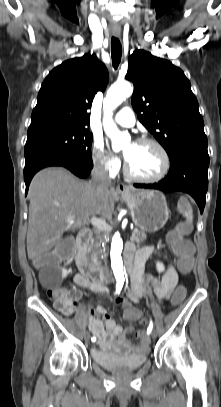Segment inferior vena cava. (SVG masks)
<instances>
[{"mask_svg": "<svg viewBox=\"0 0 221 407\" xmlns=\"http://www.w3.org/2000/svg\"><path fill=\"white\" fill-rule=\"evenodd\" d=\"M91 184L96 188L97 194L102 193L109 188L111 180L108 176V171L103 163H96L92 170ZM106 272L108 271L105 268Z\"/></svg>", "mask_w": 221, "mask_h": 407, "instance_id": "1", "label": "inferior vena cava"}]
</instances>
